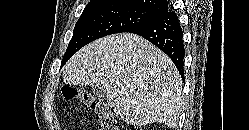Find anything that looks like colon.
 Masks as SVG:
<instances>
[{"mask_svg": "<svg viewBox=\"0 0 249 130\" xmlns=\"http://www.w3.org/2000/svg\"><path fill=\"white\" fill-rule=\"evenodd\" d=\"M62 97L67 101H77L91 110L99 121L100 130H122V125L108 104L91 92L74 86H63Z\"/></svg>", "mask_w": 249, "mask_h": 130, "instance_id": "obj_1", "label": "colon"}]
</instances>
